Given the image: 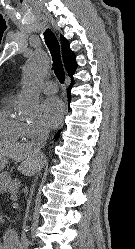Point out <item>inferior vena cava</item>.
<instances>
[{"instance_id": "obj_1", "label": "inferior vena cava", "mask_w": 135, "mask_h": 249, "mask_svg": "<svg viewBox=\"0 0 135 249\" xmlns=\"http://www.w3.org/2000/svg\"><path fill=\"white\" fill-rule=\"evenodd\" d=\"M48 137V129L40 128L37 137L32 139L30 143L35 155H41V149L45 146ZM18 249H28V240L25 235L21 237Z\"/></svg>"}]
</instances>
